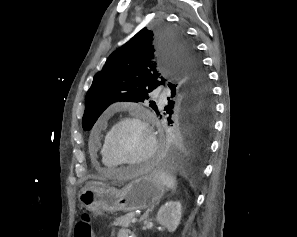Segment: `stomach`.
<instances>
[{
  "label": "stomach",
  "mask_w": 297,
  "mask_h": 237,
  "mask_svg": "<svg viewBox=\"0 0 297 237\" xmlns=\"http://www.w3.org/2000/svg\"><path fill=\"white\" fill-rule=\"evenodd\" d=\"M167 187L155 174L130 181L122 189L88 185L79 194L81 205L89 211L131 212L154 206Z\"/></svg>",
  "instance_id": "0dacf381"
}]
</instances>
